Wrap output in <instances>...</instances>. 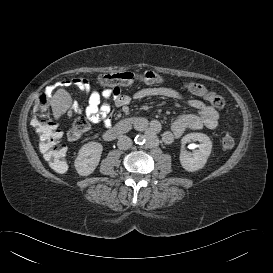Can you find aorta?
<instances>
[{
	"instance_id": "1",
	"label": "aorta",
	"mask_w": 273,
	"mask_h": 273,
	"mask_svg": "<svg viewBox=\"0 0 273 273\" xmlns=\"http://www.w3.org/2000/svg\"><path fill=\"white\" fill-rule=\"evenodd\" d=\"M135 143L139 145H143L145 143V138L142 135H137L135 137Z\"/></svg>"
}]
</instances>
